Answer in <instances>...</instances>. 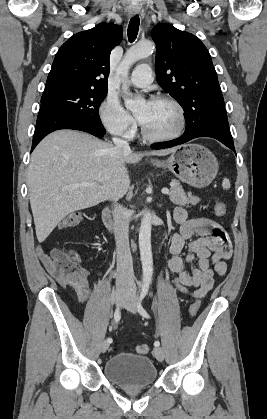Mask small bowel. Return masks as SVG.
I'll return each mask as SVG.
<instances>
[{
  "label": "small bowel",
  "instance_id": "1",
  "mask_svg": "<svg viewBox=\"0 0 267 419\" xmlns=\"http://www.w3.org/2000/svg\"><path fill=\"white\" fill-rule=\"evenodd\" d=\"M173 217L180 225L179 232L172 238L168 261L169 269L174 274V285L182 293L202 298L212 289L215 276L226 273L227 261L232 256L231 242L225 230L211 219H188L183 207L175 208ZM185 246L187 251L182 257ZM37 256L61 287L71 286L81 304L88 301L90 286L85 270L76 276L63 277L53 270L42 248L37 249ZM185 263L194 264L190 272L184 270Z\"/></svg>",
  "mask_w": 267,
  "mask_h": 419
}]
</instances>
